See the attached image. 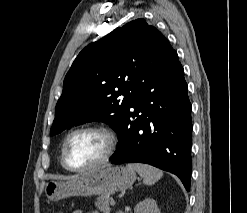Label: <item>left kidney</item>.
Instances as JSON below:
<instances>
[{"label":"left kidney","mask_w":247,"mask_h":213,"mask_svg":"<svg viewBox=\"0 0 247 213\" xmlns=\"http://www.w3.org/2000/svg\"><path fill=\"white\" fill-rule=\"evenodd\" d=\"M135 213H160L157 202L154 199L147 198L139 202L134 209Z\"/></svg>","instance_id":"5707ae66"}]
</instances>
